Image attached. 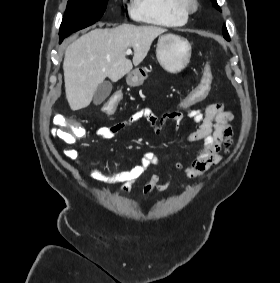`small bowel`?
I'll return each mask as SVG.
<instances>
[{
    "instance_id": "c3829d8e",
    "label": "small bowel",
    "mask_w": 280,
    "mask_h": 283,
    "mask_svg": "<svg viewBox=\"0 0 280 283\" xmlns=\"http://www.w3.org/2000/svg\"><path fill=\"white\" fill-rule=\"evenodd\" d=\"M184 117H188L198 124V128L188 134L187 141L191 143L202 141L203 146L199 149L191 163L176 162L175 168L188 178L195 179L202 176L212 166L219 164L232 144L231 123L234 117L220 103L210 104L203 111L193 108H188V112H173L171 110L161 116H157L150 110L143 108L133 113L124 121L110 126L98 127L95 131V136L100 140H112L122 131L141 120L147 121L153 128L161 131L169 122L179 125ZM82 135H85V132ZM65 155L75 161L77 166H82L78 150L70 148ZM158 163L159 159L155 153L146 152L139 163L131 169L106 172L95 164L88 163L87 170L94 178L117 180L122 184V191L126 194L150 166L157 165ZM170 180V175L163 179L159 174H152L143 186V195L150 196L153 192H163Z\"/></svg>"
}]
</instances>
